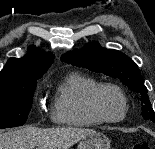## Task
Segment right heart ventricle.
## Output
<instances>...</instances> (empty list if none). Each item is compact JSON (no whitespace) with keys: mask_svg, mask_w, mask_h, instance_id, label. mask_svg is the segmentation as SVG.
I'll return each mask as SVG.
<instances>
[{"mask_svg":"<svg viewBox=\"0 0 155 149\" xmlns=\"http://www.w3.org/2000/svg\"><path fill=\"white\" fill-rule=\"evenodd\" d=\"M98 82L78 72L70 73L58 86L51 118L59 125L93 127L103 124L90 107L89 96Z\"/></svg>","mask_w":155,"mask_h":149,"instance_id":"right-heart-ventricle-1","label":"right heart ventricle"}]
</instances>
